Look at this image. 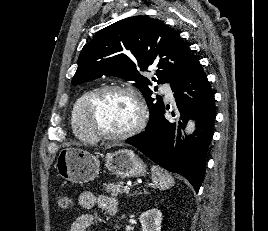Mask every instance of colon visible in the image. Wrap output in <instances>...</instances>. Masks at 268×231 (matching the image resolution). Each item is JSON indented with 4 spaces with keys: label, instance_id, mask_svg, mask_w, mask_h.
<instances>
[{
    "label": "colon",
    "instance_id": "5ec220e1",
    "mask_svg": "<svg viewBox=\"0 0 268 231\" xmlns=\"http://www.w3.org/2000/svg\"><path fill=\"white\" fill-rule=\"evenodd\" d=\"M73 199L63 192H59L55 198L56 209L60 213H64L69 207L73 205Z\"/></svg>",
    "mask_w": 268,
    "mask_h": 231
}]
</instances>
